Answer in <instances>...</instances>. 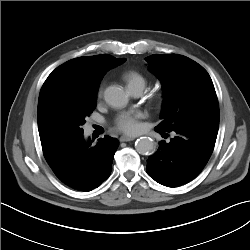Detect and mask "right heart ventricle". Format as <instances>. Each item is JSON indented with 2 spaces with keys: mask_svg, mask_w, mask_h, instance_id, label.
Instances as JSON below:
<instances>
[{
  "mask_svg": "<svg viewBox=\"0 0 250 250\" xmlns=\"http://www.w3.org/2000/svg\"><path fill=\"white\" fill-rule=\"evenodd\" d=\"M123 79L126 81L128 87L133 85H142L145 87L146 84V79L143 74L135 70L126 71L123 74Z\"/></svg>",
  "mask_w": 250,
  "mask_h": 250,
  "instance_id": "obj_1",
  "label": "right heart ventricle"
}]
</instances>
